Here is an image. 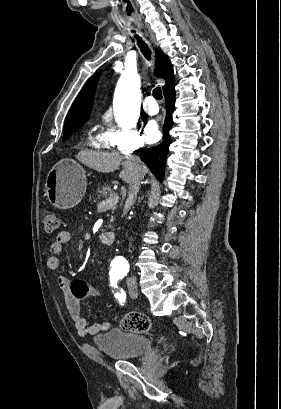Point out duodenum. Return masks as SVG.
Here are the masks:
<instances>
[{
	"label": "duodenum",
	"mask_w": 281,
	"mask_h": 409,
	"mask_svg": "<svg viewBox=\"0 0 281 409\" xmlns=\"http://www.w3.org/2000/svg\"><path fill=\"white\" fill-rule=\"evenodd\" d=\"M115 234L112 232H105L100 235V240L105 245H110L114 242Z\"/></svg>",
	"instance_id": "obj_1"
}]
</instances>
